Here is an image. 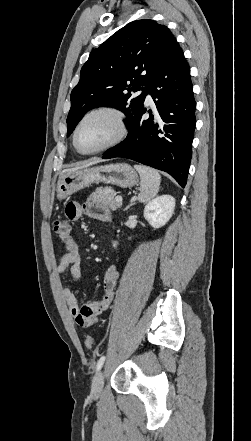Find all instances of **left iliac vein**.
Here are the masks:
<instances>
[{
    "instance_id": "obj_1",
    "label": "left iliac vein",
    "mask_w": 251,
    "mask_h": 441,
    "mask_svg": "<svg viewBox=\"0 0 251 441\" xmlns=\"http://www.w3.org/2000/svg\"><path fill=\"white\" fill-rule=\"evenodd\" d=\"M104 384V371H99L93 378L91 385V394L95 397L99 396L102 392Z\"/></svg>"
}]
</instances>
